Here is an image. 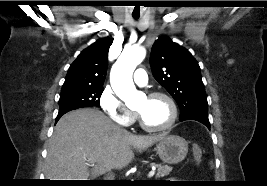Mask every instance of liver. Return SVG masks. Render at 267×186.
<instances>
[{"label":"liver","mask_w":267,"mask_h":186,"mask_svg":"<svg viewBox=\"0 0 267 186\" xmlns=\"http://www.w3.org/2000/svg\"><path fill=\"white\" fill-rule=\"evenodd\" d=\"M165 135L131 134L98 109L71 111L58 121L49 140L46 178L88 180L122 169L134 158L132 148L147 149Z\"/></svg>","instance_id":"6515ba94"}]
</instances>
